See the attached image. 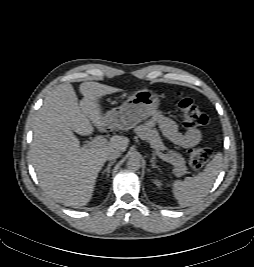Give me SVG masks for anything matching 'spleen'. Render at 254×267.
<instances>
[{
    "instance_id": "3e777b00",
    "label": "spleen",
    "mask_w": 254,
    "mask_h": 267,
    "mask_svg": "<svg viewBox=\"0 0 254 267\" xmlns=\"http://www.w3.org/2000/svg\"><path fill=\"white\" fill-rule=\"evenodd\" d=\"M223 156L218 152L206 165L203 172L195 177L175 180L172 183L174 197L181 207H188L204 198L211 190L221 171Z\"/></svg>"
}]
</instances>
